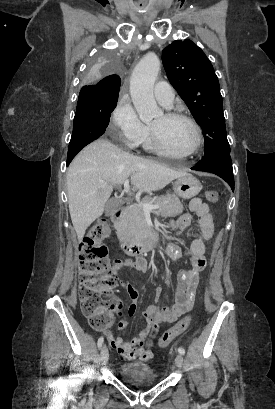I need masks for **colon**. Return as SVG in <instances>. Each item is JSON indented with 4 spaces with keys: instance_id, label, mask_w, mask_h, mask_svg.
I'll return each instance as SVG.
<instances>
[{
    "instance_id": "colon-1",
    "label": "colon",
    "mask_w": 275,
    "mask_h": 409,
    "mask_svg": "<svg viewBox=\"0 0 275 409\" xmlns=\"http://www.w3.org/2000/svg\"><path fill=\"white\" fill-rule=\"evenodd\" d=\"M205 196L209 202H216L219 195L216 190H208ZM107 237V222L98 220L78 247L80 308L93 330H106L107 325H113V314L118 313L122 304L113 293L119 282L112 273V262L107 257L108 248L104 243ZM113 261L121 263L123 260L115 258ZM191 321L192 315L187 314L166 330L158 340L159 348L169 346L187 330Z\"/></svg>"
}]
</instances>
